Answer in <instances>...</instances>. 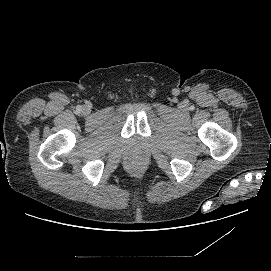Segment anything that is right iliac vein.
Wrapping results in <instances>:
<instances>
[{"label":"right iliac vein","mask_w":271,"mask_h":271,"mask_svg":"<svg viewBox=\"0 0 271 271\" xmlns=\"http://www.w3.org/2000/svg\"><path fill=\"white\" fill-rule=\"evenodd\" d=\"M82 112L84 114H88L90 112V108L88 106L83 107Z\"/></svg>","instance_id":"1"}]
</instances>
